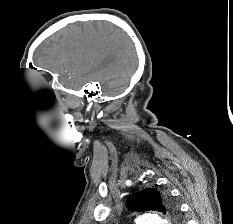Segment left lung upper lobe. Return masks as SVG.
I'll return each mask as SVG.
<instances>
[{"instance_id":"obj_1","label":"left lung upper lobe","mask_w":233,"mask_h":224,"mask_svg":"<svg viewBox=\"0 0 233 224\" xmlns=\"http://www.w3.org/2000/svg\"><path fill=\"white\" fill-rule=\"evenodd\" d=\"M127 205L130 210L139 212L147 210L158 211L168 214L174 221H178L176 204L166 193H160L153 188H147L130 195L127 199Z\"/></svg>"}]
</instances>
